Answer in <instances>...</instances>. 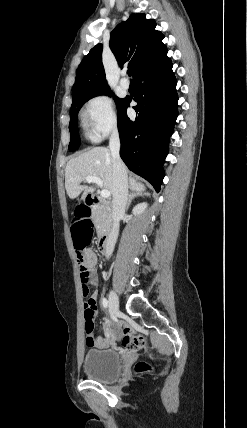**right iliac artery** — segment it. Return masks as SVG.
I'll return each instance as SVG.
<instances>
[{
    "label": "right iliac artery",
    "instance_id": "right-iliac-artery-1",
    "mask_svg": "<svg viewBox=\"0 0 247 428\" xmlns=\"http://www.w3.org/2000/svg\"><path fill=\"white\" fill-rule=\"evenodd\" d=\"M102 305H103V307H104V308H107V307H108V301H107V299H106V298H103V299H102Z\"/></svg>",
    "mask_w": 247,
    "mask_h": 428
}]
</instances>
